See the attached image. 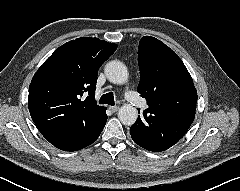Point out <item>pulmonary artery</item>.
Wrapping results in <instances>:
<instances>
[{"instance_id": "obj_1", "label": "pulmonary artery", "mask_w": 240, "mask_h": 191, "mask_svg": "<svg viewBox=\"0 0 240 191\" xmlns=\"http://www.w3.org/2000/svg\"><path fill=\"white\" fill-rule=\"evenodd\" d=\"M125 96L133 106H139L141 98L136 93L128 90L125 92Z\"/></svg>"}]
</instances>
